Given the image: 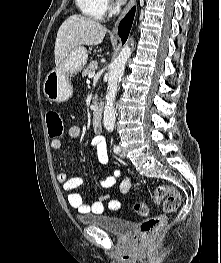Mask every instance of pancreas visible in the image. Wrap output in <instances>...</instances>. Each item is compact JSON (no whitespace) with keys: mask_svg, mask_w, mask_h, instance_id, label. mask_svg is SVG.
I'll list each match as a JSON object with an SVG mask.
<instances>
[{"mask_svg":"<svg viewBox=\"0 0 221 263\" xmlns=\"http://www.w3.org/2000/svg\"><path fill=\"white\" fill-rule=\"evenodd\" d=\"M98 68L96 61H91L86 69L83 70L82 76L87 77L90 73L94 72Z\"/></svg>","mask_w":221,"mask_h":263,"instance_id":"cf45deb5","label":"pancreas"}]
</instances>
